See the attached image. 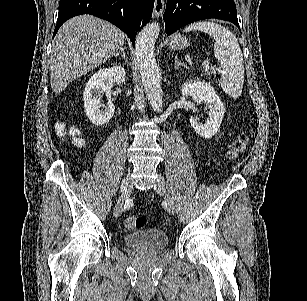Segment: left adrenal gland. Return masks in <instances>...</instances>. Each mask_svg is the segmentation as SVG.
<instances>
[{
    "label": "left adrenal gland",
    "instance_id": "a2214340",
    "mask_svg": "<svg viewBox=\"0 0 307 301\" xmlns=\"http://www.w3.org/2000/svg\"><path fill=\"white\" fill-rule=\"evenodd\" d=\"M179 66H185V68H187L186 64H184V62H181V60H179V58H175V62H174V68L175 70H177V68H179Z\"/></svg>",
    "mask_w": 307,
    "mask_h": 301
}]
</instances>
